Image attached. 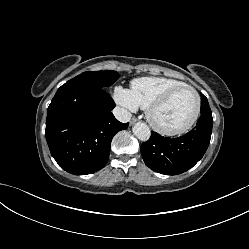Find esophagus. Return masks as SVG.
Returning <instances> with one entry per match:
<instances>
[{"label":"esophagus","mask_w":249,"mask_h":249,"mask_svg":"<svg viewBox=\"0 0 249 249\" xmlns=\"http://www.w3.org/2000/svg\"><path fill=\"white\" fill-rule=\"evenodd\" d=\"M137 121H138V119L136 117H133L130 121V124L132 125V124L136 123Z\"/></svg>","instance_id":"34e87169"}]
</instances>
